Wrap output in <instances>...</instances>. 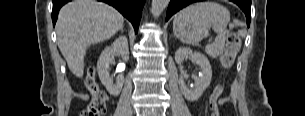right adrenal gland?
<instances>
[{
	"instance_id": "1",
	"label": "right adrenal gland",
	"mask_w": 305,
	"mask_h": 116,
	"mask_svg": "<svg viewBox=\"0 0 305 116\" xmlns=\"http://www.w3.org/2000/svg\"><path fill=\"white\" fill-rule=\"evenodd\" d=\"M124 32V29L123 28H121V33H123Z\"/></svg>"
}]
</instances>
